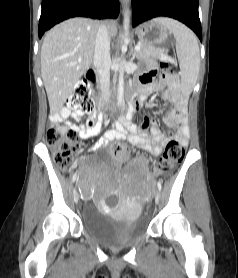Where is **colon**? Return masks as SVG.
Returning a JSON list of instances; mask_svg holds the SVG:
<instances>
[{"label":"colon","instance_id":"obj_1","mask_svg":"<svg viewBox=\"0 0 238 278\" xmlns=\"http://www.w3.org/2000/svg\"><path fill=\"white\" fill-rule=\"evenodd\" d=\"M161 69V78L174 77L173 71L167 63H162ZM66 108L80 113H91L93 111L94 103L90 96L89 83L86 80L80 81L76 85L74 92L67 100ZM47 141L56 165L61 168H67L80 145L77 131L73 128L65 130L51 128L47 132ZM110 153L113 157L121 159L128 152L124 145L114 143L110 146ZM184 155V147L178 141H170L158 162V172L161 174L170 172L183 160Z\"/></svg>","mask_w":238,"mask_h":278}]
</instances>
